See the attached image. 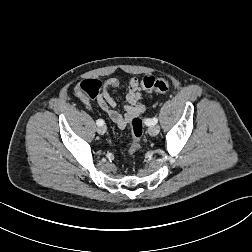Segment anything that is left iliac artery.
Returning a JSON list of instances; mask_svg holds the SVG:
<instances>
[{
  "instance_id": "1",
  "label": "left iliac artery",
  "mask_w": 252,
  "mask_h": 252,
  "mask_svg": "<svg viewBox=\"0 0 252 252\" xmlns=\"http://www.w3.org/2000/svg\"><path fill=\"white\" fill-rule=\"evenodd\" d=\"M142 118H145V115H142ZM143 122H145L146 125H148V126H152V125L157 124L158 118L154 117L152 119H143Z\"/></svg>"
}]
</instances>
